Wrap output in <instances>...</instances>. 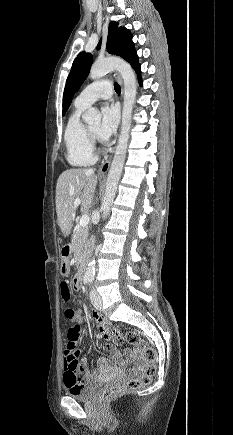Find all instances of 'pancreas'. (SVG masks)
<instances>
[{
  "label": "pancreas",
  "instance_id": "obj_1",
  "mask_svg": "<svg viewBox=\"0 0 233 435\" xmlns=\"http://www.w3.org/2000/svg\"><path fill=\"white\" fill-rule=\"evenodd\" d=\"M88 228L77 226L74 231V236L71 241V248L73 252V258L75 263L79 265L87 252L88 240Z\"/></svg>",
  "mask_w": 233,
  "mask_h": 435
}]
</instances>
